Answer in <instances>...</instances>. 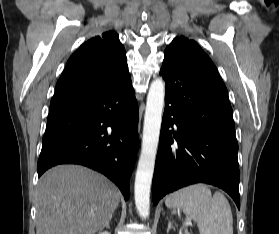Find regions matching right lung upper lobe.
<instances>
[{
	"mask_svg": "<svg viewBox=\"0 0 279 234\" xmlns=\"http://www.w3.org/2000/svg\"><path fill=\"white\" fill-rule=\"evenodd\" d=\"M125 54L114 31L83 43L69 58L51 104L99 90L129 73Z\"/></svg>",
	"mask_w": 279,
	"mask_h": 234,
	"instance_id": "cb5924a9",
	"label": "right lung upper lobe"
}]
</instances>
